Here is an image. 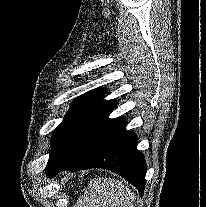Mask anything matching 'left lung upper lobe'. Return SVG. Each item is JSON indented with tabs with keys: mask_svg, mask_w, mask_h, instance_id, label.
<instances>
[{
	"mask_svg": "<svg viewBox=\"0 0 206 207\" xmlns=\"http://www.w3.org/2000/svg\"><path fill=\"white\" fill-rule=\"evenodd\" d=\"M103 93L102 89L91 90L72 103L55 129L47 173L54 164L68 160L78 150L96 122L115 104L114 100H102Z\"/></svg>",
	"mask_w": 206,
	"mask_h": 207,
	"instance_id": "obj_1",
	"label": "left lung upper lobe"
}]
</instances>
